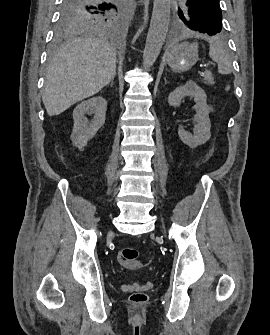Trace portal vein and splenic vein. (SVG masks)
Instances as JSON below:
<instances>
[{"label":"portal vein and splenic vein","mask_w":270,"mask_h":335,"mask_svg":"<svg viewBox=\"0 0 270 335\" xmlns=\"http://www.w3.org/2000/svg\"><path fill=\"white\" fill-rule=\"evenodd\" d=\"M213 64L212 63H206L203 65V68H208V66H212ZM201 74H204V71H201Z\"/></svg>","instance_id":"obj_1"}]
</instances>
